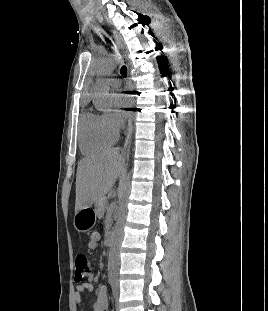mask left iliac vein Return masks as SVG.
Wrapping results in <instances>:
<instances>
[{"label": "left iliac vein", "instance_id": "obj_1", "mask_svg": "<svg viewBox=\"0 0 268 311\" xmlns=\"http://www.w3.org/2000/svg\"><path fill=\"white\" fill-rule=\"evenodd\" d=\"M116 311H119V306H118V297L116 299Z\"/></svg>", "mask_w": 268, "mask_h": 311}]
</instances>
